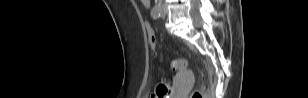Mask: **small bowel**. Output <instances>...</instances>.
I'll list each match as a JSON object with an SVG mask.
<instances>
[{
	"label": "small bowel",
	"instance_id": "1",
	"mask_svg": "<svg viewBox=\"0 0 308 98\" xmlns=\"http://www.w3.org/2000/svg\"><path fill=\"white\" fill-rule=\"evenodd\" d=\"M142 4L148 8L150 6V1L149 0H142Z\"/></svg>",
	"mask_w": 308,
	"mask_h": 98
}]
</instances>
